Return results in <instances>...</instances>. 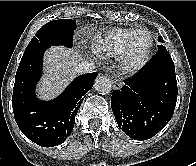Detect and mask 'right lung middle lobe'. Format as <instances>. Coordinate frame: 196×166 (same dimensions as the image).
I'll return each instance as SVG.
<instances>
[{
  "label": "right lung middle lobe",
  "mask_w": 196,
  "mask_h": 166,
  "mask_svg": "<svg viewBox=\"0 0 196 166\" xmlns=\"http://www.w3.org/2000/svg\"><path fill=\"white\" fill-rule=\"evenodd\" d=\"M75 23L71 19H60L46 23L32 38L24 53L56 45L72 47L73 33L76 29Z\"/></svg>",
  "instance_id": "dd1d6c3e"
}]
</instances>
